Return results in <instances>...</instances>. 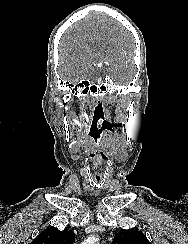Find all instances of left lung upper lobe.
Here are the masks:
<instances>
[{
	"label": "left lung upper lobe",
	"instance_id": "left-lung-upper-lobe-1",
	"mask_svg": "<svg viewBox=\"0 0 188 244\" xmlns=\"http://www.w3.org/2000/svg\"><path fill=\"white\" fill-rule=\"evenodd\" d=\"M112 244H150L146 236L139 230H120Z\"/></svg>",
	"mask_w": 188,
	"mask_h": 244
}]
</instances>
